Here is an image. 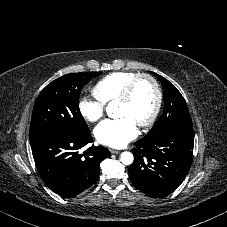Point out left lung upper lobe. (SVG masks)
Here are the masks:
<instances>
[{
    "label": "left lung upper lobe",
    "mask_w": 227,
    "mask_h": 227,
    "mask_svg": "<svg viewBox=\"0 0 227 227\" xmlns=\"http://www.w3.org/2000/svg\"><path fill=\"white\" fill-rule=\"evenodd\" d=\"M162 84L164 92V110L153 128L143 137L152 140L167 134L193 131L192 119L186 102L177 88L166 78L151 72Z\"/></svg>",
    "instance_id": "obj_1"
}]
</instances>
